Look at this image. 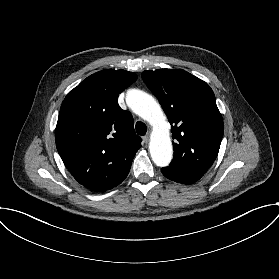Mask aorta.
<instances>
[{"label":"aorta","mask_w":279,"mask_h":279,"mask_svg":"<svg viewBox=\"0 0 279 279\" xmlns=\"http://www.w3.org/2000/svg\"><path fill=\"white\" fill-rule=\"evenodd\" d=\"M128 106L153 127L149 151L153 162L160 167L168 166L172 160L170 124L158 104L149 94L132 90L126 99Z\"/></svg>","instance_id":"762f6f07"}]
</instances>
